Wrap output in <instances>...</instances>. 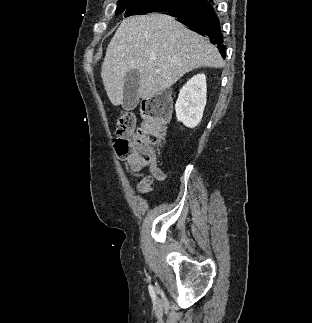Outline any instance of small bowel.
<instances>
[{
    "label": "small bowel",
    "mask_w": 312,
    "mask_h": 323,
    "mask_svg": "<svg viewBox=\"0 0 312 323\" xmlns=\"http://www.w3.org/2000/svg\"><path fill=\"white\" fill-rule=\"evenodd\" d=\"M150 175L143 178L137 185V192L141 195H147L153 191V185L155 181H162L166 178L165 174L159 168L157 161H154L149 165Z\"/></svg>",
    "instance_id": "1"
}]
</instances>
